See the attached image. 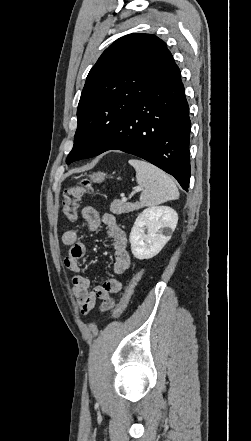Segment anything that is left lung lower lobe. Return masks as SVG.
<instances>
[{
	"label": "left lung lower lobe",
	"mask_w": 251,
	"mask_h": 441,
	"mask_svg": "<svg viewBox=\"0 0 251 441\" xmlns=\"http://www.w3.org/2000/svg\"><path fill=\"white\" fill-rule=\"evenodd\" d=\"M190 129L181 73L172 59L126 116L94 128L88 158L108 150H121L171 174L187 191Z\"/></svg>",
	"instance_id": "0a47b994"
}]
</instances>
